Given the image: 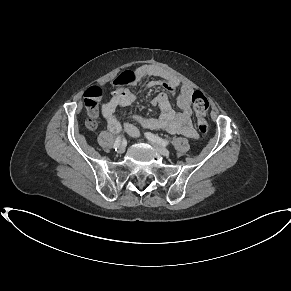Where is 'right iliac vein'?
<instances>
[{"label": "right iliac vein", "instance_id": "obj_1", "mask_svg": "<svg viewBox=\"0 0 291 291\" xmlns=\"http://www.w3.org/2000/svg\"><path fill=\"white\" fill-rule=\"evenodd\" d=\"M125 151V147H124V145H120L119 147H118V149H117V152L118 153H123Z\"/></svg>", "mask_w": 291, "mask_h": 291}]
</instances>
